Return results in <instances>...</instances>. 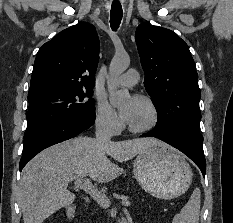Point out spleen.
Instances as JSON below:
<instances>
[{"instance_id": "obj_1", "label": "spleen", "mask_w": 233, "mask_h": 223, "mask_svg": "<svg viewBox=\"0 0 233 223\" xmlns=\"http://www.w3.org/2000/svg\"><path fill=\"white\" fill-rule=\"evenodd\" d=\"M201 191L199 187L194 189L188 203L182 207L175 217V223H199Z\"/></svg>"}]
</instances>
